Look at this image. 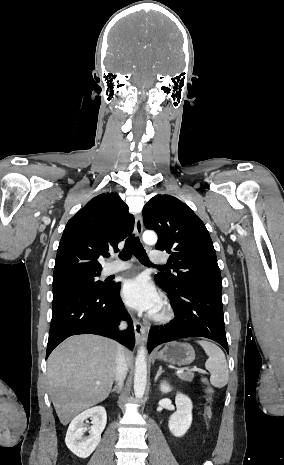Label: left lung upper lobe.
Here are the masks:
<instances>
[{"label":"left lung upper lobe","mask_w":284,"mask_h":465,"mask_svg":"<svg viewBox=\"0 0 284 465\" xmlns=\"http://www.w3.org/2000/svg\"><path fill=\"white\" fill-rule=\"evenodd\" d=\"M144 225L158 234L157 250L171 253L168 260L176 275L159 273L154 278L170 291L182 286L222 290L220 269L211 237L201 219L183 202L157 195L143 209Z\"/></svg>","instance_id":"obj_1"}]
</instances>
